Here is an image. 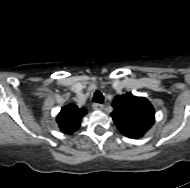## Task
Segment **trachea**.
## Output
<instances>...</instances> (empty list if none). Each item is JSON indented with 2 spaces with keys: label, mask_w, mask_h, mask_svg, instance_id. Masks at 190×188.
I'll list each match as a JSON object with an SVG mask.
<instances>
[{
  "label": "trachea",
  "mask_w": 190,
  "mask_h": 188,
  "mask_svg": "<svg viewBox=\"0 0 190 188\" xmlns=\"http://www.w3.org/2000/svg\"><path fill=\"white\" fill-rule=\"evenodd\" d=\"M93 101L96 103H102L104 101V97L100 91H96L93 96Z\"/></svg>",
  "instance_id": "trachea-1"
}]
</instances>
